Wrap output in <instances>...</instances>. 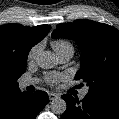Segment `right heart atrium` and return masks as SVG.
Listing matches in <instances>:
<instances>
[{
    "mask_svg": "<svg viewBox=\"0 0 119 119\" xmlns=\"http://www.w3.org/2000/svg\"><path fill=\"white\" fill-rule=\"evenodd\" d=\"M39 49H40L39 45H35L30 49L28 56H27L29 62H32L35 60V58L39 52Z\"/></svg>",
    "mask_w": 119,
    "mask_h": 119,
    "instance_id": "1",
    "label": "right heart atrium"
}]
</instances>
